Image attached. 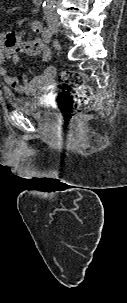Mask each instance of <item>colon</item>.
Instances as JSON below:
<instances>
[{
  "mask_svg": "<svg viewBox=\"0 0 127 303\" xmlns=\"http://www.w3.org/2000/svg\"><path fill=\"white\" fill-rule=\"evenodd\" d=\"M10 41L15 40L10 39ZM58 85L61 88L60 105L65 120L73 118L91 106L93 90L78 72L62 71L58 76Z\"/></svg>",
  "mask_w": 127,
  "mask_h": 303,
  "instance_id": "1",
  "label": "colon"
}]
</instances>
